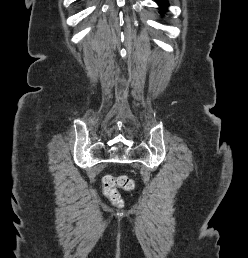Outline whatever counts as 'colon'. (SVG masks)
Masks as SVG:
<instances>
[{
  "label": "colon",
  "mask_w": 248,
  "mask_h": 258,
  "mask_svg": "<svg viewBox=\"0 0 248 258\" xmlns=\"http://www.w3.org/2000/svg\"><path fill=\"white\" fill-rule=\"evenodd\" d=\"M121 187L127 191L134 188V182L131 178L127 176L111 177L106 176L103 179V191L105 195L114 203L120 204L122 202L121 196L117 190Z\"/></svg>",
  "instance_id": "obj_1"
}]
</instances>
